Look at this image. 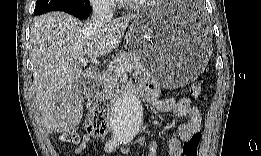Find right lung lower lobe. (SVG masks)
Listing matches in <instances>:
<instances>
[{
	"mask_svg": "<svg viewBox=\"0 0 261 156\" xmlns=\"http://www.w3.org/2000/svg\"><path fill=\"white\" fill-rule=\"evenodd\" d=\"M65 12L72 14L76 17L85 19L90 15L91 7H90V5L89 6L88 5H79L73 9L67 10Z\"/></svg>",
	"mask_w": 261,
	"mask_h": 156,
	"instance_id": "obj_1",
	"label": "right lung lower lobe"
}]
</instances>
